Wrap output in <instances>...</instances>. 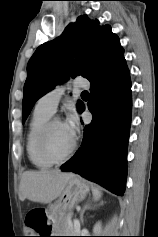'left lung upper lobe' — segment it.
Instances as JSON below:
<instances>
[{
	"instance_id": "5c2ea615",
	"label": "left lung upper lobe",
	"mask_w": 158,
	"mask_h": 237,
	"mask_svg": "<svg viewBox=\"0 0 158 237\" xmlns=\"http://www.w3.org/2000/svg\"><path fill=\"white\" fill-rule=\"evenodd\" d=\"M80 53L86 56L70 61L71 56ZM123 54L119 38L109 25L99 26L98 20H91L87 15L78 17L60 37L40 45L30 58L24 85L22 122L35 102L57 83L79 75L91 83L99 80L124 59ZM82 104L79 101L78 109Z\"/></svg>"
}]
</instances>
